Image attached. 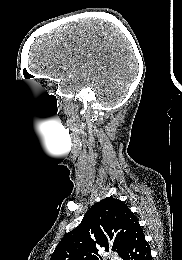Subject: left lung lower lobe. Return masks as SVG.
Returning <instances> with one entry per match:
<instances>
[{
  "label": "left lung lower lobe",
  "instance_id": "1",
  "mask_svg": "<svg viewBox=\"0 0 182 260\" xmlns=\"http://www.w3.org/2000/svg\"><path fill=\"white\" fill-rule=\"evenodd\" d=\"M120 257L123 260H152L149 245L145 240L141 226L133 231Z\"/></svg>",
  "mask_w": 182,
  "mask_h": 260
}]
</instances>
